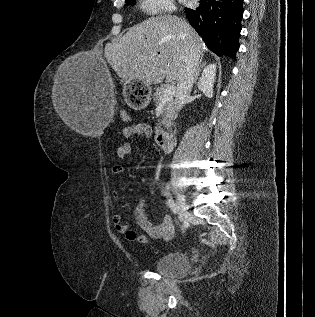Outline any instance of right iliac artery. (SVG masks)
Listing matches in <instances>:
<instances>
[{"mask_svg":"<svg viewBox=\"0 0 315 317\" xmlns=\"http://www.w3.org/2000/svg\"><path fill=\"white\" fill-rule=\"evenodd\" d=\"M165 195L168 197V192H165ZM168 203H169V207L171 209V211L174 213V214H177L178 213V209L174 203V201L171 199V198H168Z\"/></svg>","mask_w":315,"mask_h":317,"instance_id":"right-iliac-artery-1","label":"right iliac artery"}]
</instances>
